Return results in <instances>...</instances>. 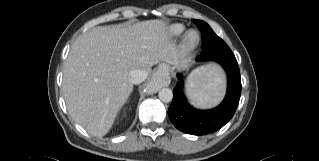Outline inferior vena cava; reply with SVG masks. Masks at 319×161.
Returning <instances> with one entry per match:
<instances>
[{
	"instance_id": "602c4592",
	"label": "inferior vena cava",
	"mask_w": 319,
	"mask_h": 161,
	"mask_svg": "<svg viewBox=\"0 0 319 161\" xmlns=\"http://www.w3.org/2000/svg\"><path fill=\"white\" fill-rule=\"evenodd\" d=\"M148 74L144 70H132L129 73L130 82L132 84H140L147 78Z\"/></svg>"
}]
</instances>
